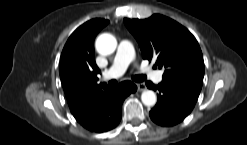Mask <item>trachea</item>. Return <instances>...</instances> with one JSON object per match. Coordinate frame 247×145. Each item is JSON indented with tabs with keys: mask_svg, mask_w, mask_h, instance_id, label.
Instances as JSON below:
<instances>
[{
	"mask_svg": "<svg viewBox=\"0 0 247 145\" xmlns=\"http://www.w3.org/2000/svg\"><path fill=\"white\" fill-rule=\"evenodd\" d=\"M132 79L136 82H142L146 79V75H135V76H132ZM112 84H116L117 81L116 80H112L111 81Z\"/></svg>",
	"mask_w": 247,
	"mask_h": 145,
	"instance_id": "3493384b",
	"label": "trachea"
}]
</instances>
